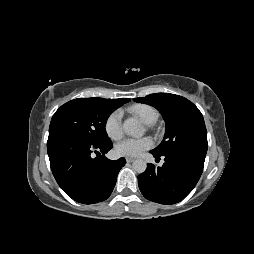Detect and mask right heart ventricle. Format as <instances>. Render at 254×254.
<instances>
[{
  "label": "right heart ventricle",
  "instance_id": "e07e8e85",
  "mask_svg": "<svg viewBox=\"0 0 254 254\" xmlns=\"http://www.w3.org/2000/svg\"><path fill=\"white\" fill-rule=\"evenodd\" d=\"M128 111L139 117L147 125L155 123L158 119L157 110L147 104H134L128 108Z\"/></svg>",
  "mask_w": 254,
  "mask_h": 254
}]
</instances>
